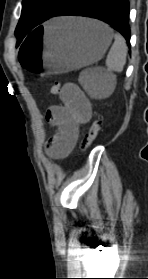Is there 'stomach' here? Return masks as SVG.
<instances>
[{
  "mask_svg": "<svg viewBox=\"0 0 148 279\" xmlns=\"http://www.w3.org/2000/svg\"><path fill=\"white\" fill-rule=\"evenodd\" d=\"M37 34H28L19 52L20 72L26 78H47V73H64L100 60L108 49L112 30L88 19H59L53 24H36Z\"/></svg>",
  "mask_w": 148,
  "mask_h": 279,
  "instance_id": "stomach-1",
  "label": "stomach"
}]
</instances>
